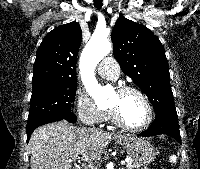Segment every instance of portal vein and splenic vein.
<instances>
[{
  "instance_id": "1",
  "label": "portal vein and splenic vein",
  "mask_w": 200,
  "mask_h": 169,
  "mask_svg": "<svg viewBox=\"0 0 200 169\" xmlns=\"http://www.w3.org/2000/svg\"><path fill=\"white\" fill-rule=\"evenodd\" d=\"M126 162H129L128 160L122 161L121 164L125 165Z\"/></svg>"
}]
</instances>
